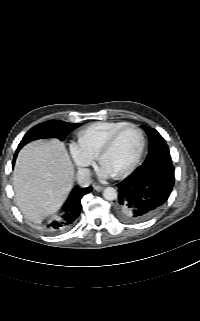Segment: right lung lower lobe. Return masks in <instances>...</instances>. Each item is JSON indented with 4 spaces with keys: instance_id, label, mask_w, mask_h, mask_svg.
<instances>
[{
    "instance_id": "1",
    "label": "right lung lower lobe",
    "mask_w": 200,
    "mask_h": 321,
    "mask_svg": "<svg viewBox=\"0 0 200 321\" xmlns=\"http://www.w3.org/2000/svg\"><path fill=\"white\" fill-rule=\"evenodd\" d=\"M19 150H17L18 152ZM17 153L14 156L13 164L16 159ZM92 187L87 188H75L71 192L62 214L57 219L53 220L51 223L47 224V230L51 233H57L66 230L69 228L79 216L82 205V197L91 192Z\"/></svg>"
}]
</instances>
